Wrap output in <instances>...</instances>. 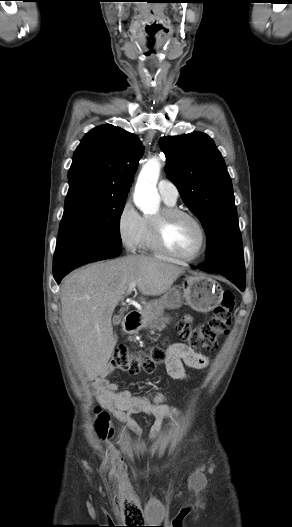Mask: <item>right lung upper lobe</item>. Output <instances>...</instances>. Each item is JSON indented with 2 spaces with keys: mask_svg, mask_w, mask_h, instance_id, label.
<instances>
[{
  "mask_svg": "<svg viewBox=\"0 0 292 527\" xmlns=\"http://www.w3.org/2000/svg\"><path fill=\"white\" fill-rule=\"evenodd\" d=\"M143 154L138 136L110 124L92 129L74 152L70 186L127 195Z\"/></svg>",
  "mask_w": 292,
  "mask_h": 527,
  "instance_id": "right-lung-upper-lobe-1",
  "label": "right lung upper lobe"
}]
</instances>
